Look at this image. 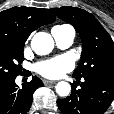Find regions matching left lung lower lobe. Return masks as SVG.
<instances>
[{
  "label": "left lung lower lobe",
  "instance_id": "obj_1",
  "mask_svg": "<svg viewBox=\"0 0 114 114\" xmlns=\"http://www.w3.org/2000/svg\"><path fill=\"white\" fill-rule=\"evenodd\" d=\"M80 84L79 77L73 76ZM80 89L72 85V94L58 99L57 105L64 114H103L114 100V79L102 76H85Z\"/></svg>",
  "mask_w": 114,
  "mask_h": 114
}]
</instances>
